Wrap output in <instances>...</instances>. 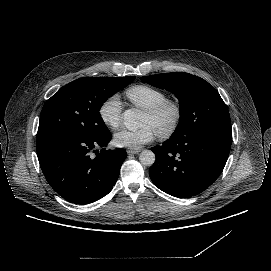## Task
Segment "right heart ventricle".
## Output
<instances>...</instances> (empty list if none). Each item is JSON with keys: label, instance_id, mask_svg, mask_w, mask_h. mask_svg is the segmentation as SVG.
<instances>
[{"label": "right heart ventricle", "instance_id": "obj_1", "mask_svg": "<svg viewBox=\"0 0 271 271\" xmlns=\"http://www.w3.org/2000/svg\"><path fill=\"white\" fill-rule=\"evenodd\" d=\"M126 97L136 106L147 109L167 99L166 93L156 87L137 84L125 91Z\"/></svg>", "mask_w": 271, "mask_h": 271}]
</instances>
